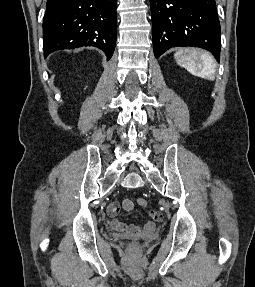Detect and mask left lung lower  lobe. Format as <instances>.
I'll list each match as a JSON object with an SVG mask.
<instances>
[{
    "mask_svg": "<svg viewBox=\"0 0 255 287\" xmlns=\"http://www.w3.org/2000/svg\"><path fill=\"white\" fill-rule=\"evenodd\" d=\"M154 54L195 46L220 60V23L215 0H150Z\"/></svg>",
    "mask_w": 255,
    "mask_h": 287,
    "instance_id": "0a47b994",
    "label": "left lung lower lobe"
}]
</instances>
